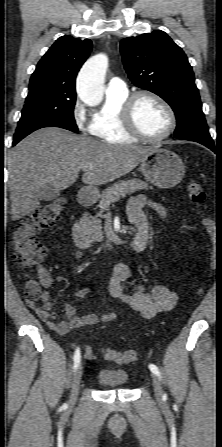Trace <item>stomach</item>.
Listing matches in <instances>:
<instances>
[{"label":"stomach","mask_w":222,"mask_h":447,"mask_svg":"<svg viewBox=\"0 0 222 447\" xmlns=\"http://www.w3.org/2000/svg\"><path fill=\"white\" fill-rule=\"evenodd\" d=\"M139 170L146 180L159 188H171L181 182L185 174L182 159L168 149L155 147L141 162ZM96 196L97 192H91Z\"/></svg>","instance_id":"stomach-1"}]
</instances>
